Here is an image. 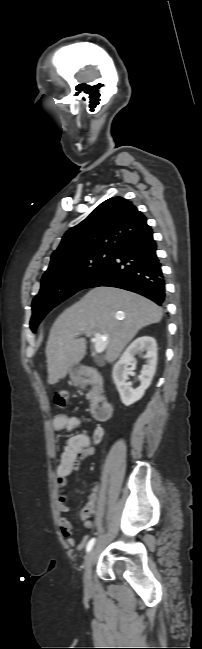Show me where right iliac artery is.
<instances>
[{
    "label": "right iliac artery",
    "mask_w": 202,
    "mask_h": 649,
    "mask_svg": "<svg viewBox=\"0 0 202 649\" xmlns=\"http://www.w3.org/2000/svg\"><path fill=\"white\" fill-rule=\"evenodd\" d=\"M94 543H95V538H92V539L88 542V544H87V546H86V551H87V552H89V551L92 549V547L94 546Z\"/></svg>",
    "instance_id": "1"
}]
</instances>
